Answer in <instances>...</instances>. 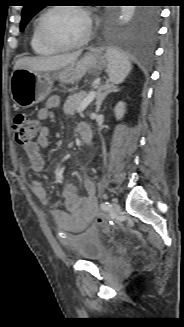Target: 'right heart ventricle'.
I'll list each match as a JSON object with an SVG mask.
<instances>
[{
    "instance_id": "e07e8e85",
    "label": "right heart ventricle",
    "mask_w": 184,
    "mask_h": 327,
    "mask_svg": "<svg viewBox=\"0 0 184 327\" xmlns=\"http://www.w3.org/2000/svg\"><path fill=\"white\" fill-rule=\"evenodd\" d=\"M39 18L35 21V23L32 27L31 37H30L31 48L34 51V53H36L37 55H41V56L53 55L57 52V50L46 45L42 41V39L39 35V31H38Z\"/></svg>"
}]
</instances>
